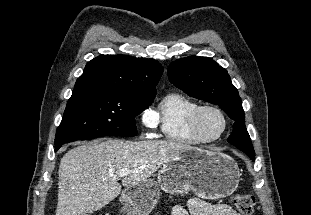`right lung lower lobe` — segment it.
I'll list each match as a JSON object with an SVG mask.
<instances>
[{
  "label": "right lung lower lobe",
  "mask_w": 311,
  "mask_h": 215,
  "mask_svg": "<svg viewBox=\"0 0 311 215\" xmlns=\"http://www.w3.org/2000/svg\"><path fill=\"white\" fill-rule=\"evenodd\" d=\"M62 145L55 146V151H57Z\"/></svg>",
  "instance_id": "right-lung-lower-lobe-1"
}]
</instances>
